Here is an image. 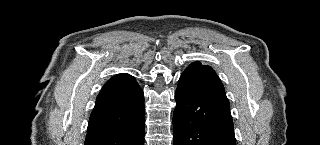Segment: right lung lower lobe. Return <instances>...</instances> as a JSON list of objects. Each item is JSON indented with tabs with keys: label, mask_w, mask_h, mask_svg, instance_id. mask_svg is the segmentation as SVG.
<instances>
[{
	"label": "right lung lower lobe",
	"mask_w": 320,
	"mask_h": 145,
	"mask_svg": "<svg viewBox=\"0 0 320 145\" xmlns=\"http://www.w3.org/2000/svg\"><path fill=\"white\" fill-rule=\"evenodd\" d=\"M144 94L135 78L107 82L90 115L84 145H144Z\"/></svg>",
	"instance_id": "obj_1"
}]
</instances>
